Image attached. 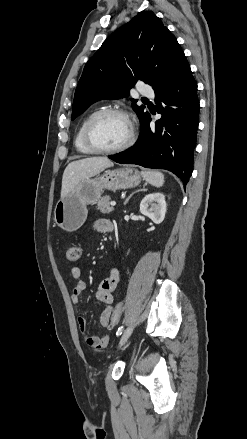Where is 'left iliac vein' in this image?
<instances>
[{"instance_id":"left-iliac-vein-1","label":"left iliac vein","mask_w":247,"mask_h":439,"mask_svg":"<svg viewBox=\"0 0 247 439\" xmlns=\"http://www.w3.org/2000/svg\"><path fill=\"white\" fill-rule=\"evenodd\" d=\"M132 331H133V326L128 327L124 331V333H123V335H122V337L120 339V342H119V347H121L123 344H125V342L128 340V338L132 334Z\"/></svg>"}]
</instances>
